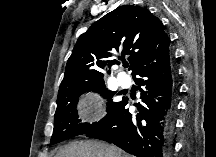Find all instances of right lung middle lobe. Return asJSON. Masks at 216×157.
Masks as SVG:
<instances>
[{
	"instance_id": "obj_1",
	"label": "right lung middle lobe",
	"mask_w": 216,
	"mask_h": 157,
	"mask_svg": "<svg viewBox=\"0 0 216 157\" xmlns=\"http://www.w3.org/2000/svg\"><path fill=\"white\" fill-rule=\"evenodd\" d=\"M88 91L97 92L108 99L106 116L99 122L92 124L82 123L81 120L78 119L76 110L80 95ZM115 96L116 92L109 91L105 87H100L64 94L57 98V109L54 116L55 124L51 137V144L61 142L73 136L88 134L106 124L115 116L123 101H113Z\"/></svg>"
}]
</instances>
